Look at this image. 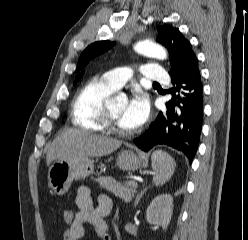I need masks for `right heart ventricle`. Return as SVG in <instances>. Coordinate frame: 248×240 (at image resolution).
<instances>
[{
    "instance_id": "e07e8e85",
    "label": "right heart ventricle",
    "mask_w": 248,
    "mask_h": 240,
    "mask_svg": "<svg viewBox=\"0 0 248 240\" xmlns=\"http://www.w3.org/2000/svg\"><path fill=\"white\" fill-rule=\"evenodd\" d=\"M115 90L116 88L108 84L103 78H93L85 84L73 102V125L94 132L104 131L105 101Z\"/></svg>"
}]
</instances>
